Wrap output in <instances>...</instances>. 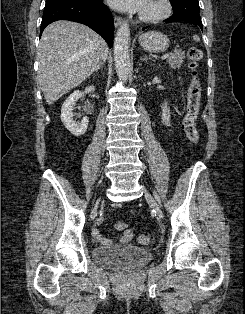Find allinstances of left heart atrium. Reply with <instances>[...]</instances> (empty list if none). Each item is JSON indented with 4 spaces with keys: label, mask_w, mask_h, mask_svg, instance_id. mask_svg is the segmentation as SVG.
I'll use <instances>...</instances> for the list:
<instances>
[{
    "label": "left heart atrium",
    "mask_w": 245,
    "mask_h": 314,
    "mask_svg": "<svg viewBox=\"0 0 245 314\" xmlns=\"http://www.w3.org/2000/svg\"><path fill=\"white\" fill-rule=\"evenodd\" d=\"M107 2L118 10L143 12L148 0H107Z\"/></svg>",
    "instance_id": "1"
}]
</instances>
